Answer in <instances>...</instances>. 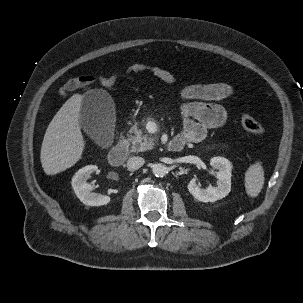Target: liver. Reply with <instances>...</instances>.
Instances as JSON below:
<instances>
[{
  "mask_svg": "<svg viewBox=\"0 0 303 303\" xmlns=\"http://www.w3.org/2000/svg\"><path fill=\"white\" fill-rule=\"evenodd\" d=\"M83 96L74 94L50 122L41 146V164L47 175L75 165L82 157L85 141L79 125Z\"/></svg>",
  "mask_w": 303,
  "mask_h": 303,
  "instance_id": "6515ba94",
  "label": "liver"
}]
</instances>
